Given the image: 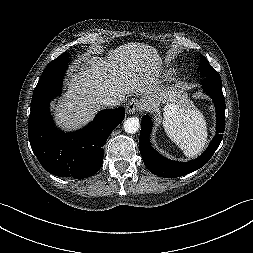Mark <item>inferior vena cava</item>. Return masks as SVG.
<instances>
[{
	"label": "inferior vena cava",
	"instance_id": "1",
	"mask_svg": "<svg viewBox=\"0 0 253 253\" xmlns=\"http://www.w3.org/2000/svg\"><path fill=\"white\" fill-rule=\"evenodd\" d=\"M102 107H115L120 104V101L113 97H104L99 100Z\"/></svg>",
	"mask_w": 253,
	"mask_h": 253
}]
</instances>
